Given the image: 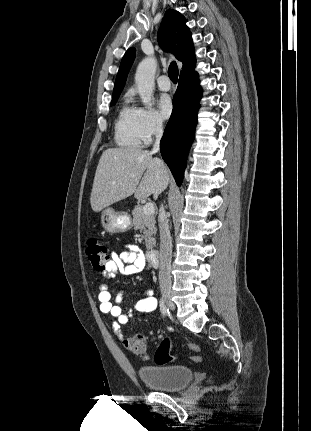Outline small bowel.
Masks as SVG:
<instances>
[{
  "mask_svg": "<svg viewBox=\"0 0 311 431\" xmlns=\"http://www.w3.org/2000/svg\"><path fill=\"white\" fill-rule=\"evenodd\" d=\"M146 265L145 258L137 246H126V250L122 252H112L109 260L105 264L103 275L108 278H114L117 274L132 275L141 272ZM123 291H120L115 301L106 285H101L99 288L98 301L99 308L102 313L110 314L115 318L113 329L120 337L121 326L128 323L135 314L151 313L158 306L157 299L153 295V290L148 289L141 294L133 307L124 312L120 303L122 301Z\"/></svg>",
  "mask_w": 311,
  "mask_h": 431,
  "instance_id": "1",
  "label": "small bowel"
}]
</instances>
